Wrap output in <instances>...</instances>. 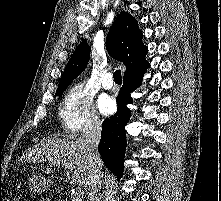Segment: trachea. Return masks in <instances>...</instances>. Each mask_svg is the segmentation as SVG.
Listing matches in <instances>:
<instances>
[{
    "instance_id": "trachea-1",
    "label": "trachea",
    "mask_w": 221,
    "mask_h": 201,
    "mask_svg": "<svg viewBox=\"0 0 221 201\" xmlns=\"http://www.w3.org/2000/svg\"><path fill=\"white\" fill-rule=\"evenodd\" d=\"M113 78L116 83H122L121 70H116L113 73Z\"/></svg>"
}]
</instances>
